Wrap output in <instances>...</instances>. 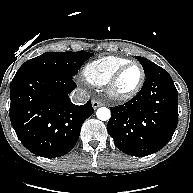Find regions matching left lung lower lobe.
Masks as SVG:
<instances>
[{"label":"left lung lower lobe","instance_id":"0a47b994","mask_svg":"<svg viewBox=\"0 0 193 193\" xmlns=\"http://www.w3.org/2000/svg\"><path fill=\"white\" fill-rule=\"evenodd\" d=\"M109 135L122 152L147 156L163 148L178 123V92L160 66L146 76L140 92L129 102L111 107Z\"/></svg>","mask_w":193,"mask_h":193}]
</instances>
